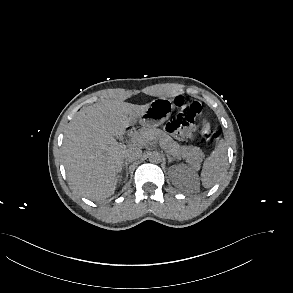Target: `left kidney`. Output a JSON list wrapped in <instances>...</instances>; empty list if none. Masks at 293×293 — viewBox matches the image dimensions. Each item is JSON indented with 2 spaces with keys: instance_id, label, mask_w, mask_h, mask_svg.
Returning a JSON list of instances; mask_svg holds the SVG:
<instances>
[{
  "instance_id": "1",
  "label": "left kidney",
  "mask_w": 293,
  "mask_h": 293,
  "mask_svg": "<svg viewBox=\"0 0 293 293\" xmlns=\"http://www.w3.org/2000/svg\"><path fill=\"white\" fill-rule=\"evenodd\" d=\"M172 182L175 186L190 190H199L197 174L190 167L179 164L171 167Z\"/></svg>"
}]
</instances>
